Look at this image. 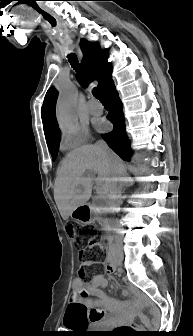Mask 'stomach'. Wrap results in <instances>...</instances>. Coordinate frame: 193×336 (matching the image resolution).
I'll return each mask as SVG.
<instances>
[{
  "label": "stomach",
  "instance_id": "1",
  "mask_svg": "<svg viewBox=\"0 0 193 336\" xmlns=\"http://www.w3.org/2000/svg\"><path fill=\"white\" fill-rule=\"evenodd\" d=\"M71 217L77 222L87 225L94 221V213L91 207L87 205L77 207L72 213Z\"/></svg>",
  "mask_w": 193,
  "mask_h": 336
}]
</instances>
